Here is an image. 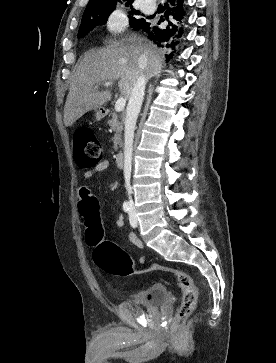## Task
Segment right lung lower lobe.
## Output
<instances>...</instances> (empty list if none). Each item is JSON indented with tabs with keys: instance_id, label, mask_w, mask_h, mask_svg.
I'll list each match as a JSON object with an SVG mask.
<instances>
[{
	"instance_id": "98d812e1",
	"label": "right lung lower lobe",
	"mask_w": 276,
	"mask_h": 363,
	"mask_svg": "<svg viewBox=\"0 0 276 363\" xmlns=\"http://www.w3.org/2000/svg\"><path fill=\"white\" fill-rule=\"evenodd\" d=\"M165 6V18L169 23L165 29L151 26L146 21L141 24L139 29L146 32L148 38L153 40L158 47L174 50L185 32L186 6L184 0H167ZM169 56L171 57L172 54Z\"/></svg>"
}]
</instances>
